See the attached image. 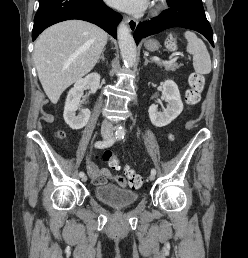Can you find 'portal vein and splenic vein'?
I'll list each match as a JSON object with an SVG mask.
<instances>
[{
	"instance_id": "portal-vein-and-splenic-vein-1",
	"label": "portal vein and splenic vein",
	"mask_w": 248,
	"mask_h": 258,
	"mask_svg": "<svg viewBox=\"0 0 248 258\" xmlns=\"http://www.w3.org/2000/svg\"><path fill=\"white\" fill-rule=\"evenodd\" d=\"M177 58L178 57H175V58L171 59L170 61H167V63H173L174 61H176ZM151 59L154 61H160V58L157 56H153Z\"/></svg>"
}]
</instances>
